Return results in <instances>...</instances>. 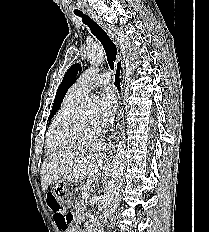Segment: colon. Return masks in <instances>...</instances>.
<instances>
[{"mask_svg": "<svg viewBox=\"0 0 209 232\" xmlns=\"http://www.w3.org/2000/svg\"><path fill=\"white\" fill-rule=\"evenodd\" d=\"M45 198H47L48 206H51L54 212L55 226H59L61 229L69 227L73 220L72 214L57 203L54 193H45Z\"/></svg>", "mask_w": 209, "mask_h": 232, "instance_id": "1", "label": "colon"}]
</instances>
